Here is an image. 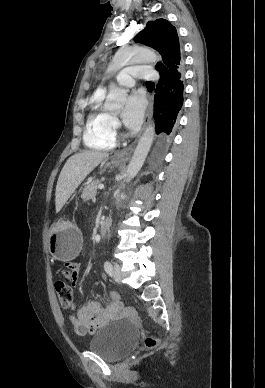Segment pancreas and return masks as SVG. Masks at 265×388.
Returning a JSON list of instances; mask_svg holds the SVG:
<instances>
[{
    "mask_svg": "<svg viewBox=\"0 0 265 388\" xmlns=\"http://www.w3.org/2000/svg\"><path fill=\"white\" fill-rule=\"evenodd\" d=\"M99 184H101L100 180H94V182L85 186L81 196L82 200H92V198H95Z\"/></svg>",
    "mask_w": 265,
    "mask_h": 388,
    "instance_id": "obj_1",
    "label": "pancreas"
}]
</instances>
